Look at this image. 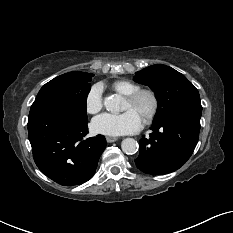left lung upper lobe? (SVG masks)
Here are the masks:
<instances>
[{
	"label": "left lung upper lobe",
	"instance_id": "5c2ea615",
	"mask_svg": "<svg viewBox=\"0 0 233 233\" xmlns=\"http://www.w3.org/2000/svg\"><path fill=\"white\" fill-rule=\"evenodd\" d=\"M134 81L149 86L155 92L158 109L154 120L178 111L202 112L198 90L183 74L169 66H149L136 72Z\"/></svg>",
	"mask_w": 233,
	"mask_h": 233
}]
</instances>
